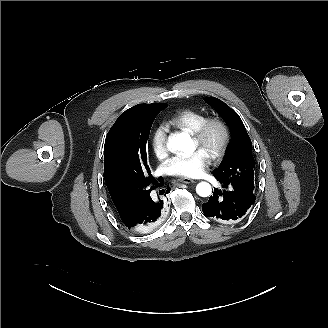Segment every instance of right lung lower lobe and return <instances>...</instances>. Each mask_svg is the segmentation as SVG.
<instances>
[{
  "label": "right lung lower lobe",
  "instance_id": "1",
  "mask_svg": "<svg viewBox=\"0 0 328 328\" xmlns=\"http://www.w3.org/2000/svg\"><path fill=\"white\" fill-rule=\"evenodd\" d=\"M164 185V180L160 179V182L156 184V188H160ZM170 192V187L167 186L165 190L159 191L160 195H166ZM166 211V201L163 197L153 198L150 193L143 199L138 201V205L133 211L132 215L127 220H122L124 226L138 233H148L155 228Z\"/></svg>",
  "mask_w": 328,
  "mask_h": 328
}]
</instances>
